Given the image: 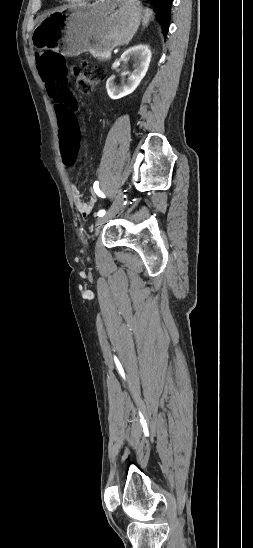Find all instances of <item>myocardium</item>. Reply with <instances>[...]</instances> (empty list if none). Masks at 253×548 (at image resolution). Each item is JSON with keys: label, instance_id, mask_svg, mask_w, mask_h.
I'll return each mask as SVG.
<instances>
[{"label": "myocardium", "instance_id": "obj_1", "mask_svg": "<svg viewBox=\"0 0 253 548\" xmlns=\"http://www.w3.org/2000/svg\"><path fill=\"white\" fill-rule=\"evenodd\" d=\"M65 2H71V3H78V2H82V1H87V0H63ZM89 1V0H88Z\"/></svg>", "mask_w": 253, "mask_h": 548}]
</instances>
